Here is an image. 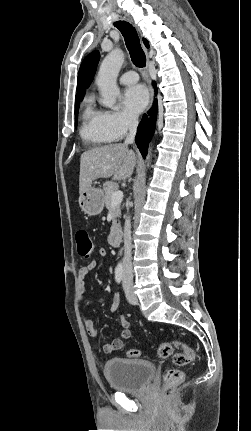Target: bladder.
Instances as JSON below:
<instances>
[{
  "label": "bladder",
  "mask_w": 251,
  "mask_h": 431,
  "mask_svg": "<svg viewBox=\"0 0 251 431\" xmlns=\"http://www.w3.org/2000/svg\"><path fill=\"white\" fill-rule=\"evenodd\" d=\"M111 389L122 393L145 390L155 374V365L148 360L113 358L103 368Z\"/></svg>",
  "instance_id": "obj_1"
}]
</instances>
